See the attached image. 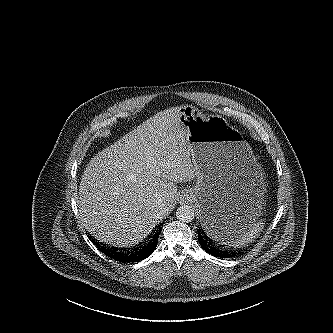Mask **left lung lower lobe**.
Here are the masks:
<instances>
[{
    "instance_id": "left-lung-lower-lobe-1",
    "label": "left lung lower lobe",
    "mask_w": 333,
    "mask_h": 333,
    "mask_svg": "<svg viewBox=\"0 0 333 333\" xmlns=\"http://www.w3.org/2000/svg\"><path fill=\"white\" fill-rule=\"evenodd\" d=\"M220 231L219 227L209 224L204 228L200 227L197 232L201 247L215 257L230 258L236 256L237 252L228 250L217 241L216 237L222 236Z\"/></svg>"
}]
</instances>
